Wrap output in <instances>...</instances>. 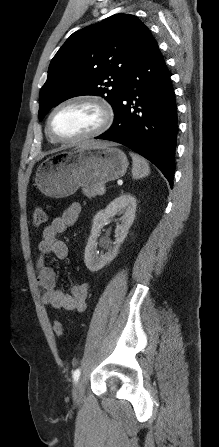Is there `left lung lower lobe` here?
Masks as SVG:
<instances>
[{
    "label": "left lung lower lobe",
    "mask_w": 219,
    "mask_h": 447,
    "mask_svg": "<svg viewBox=\"0 0 219 447\" xmlns=\"http://www.w3.org/2000/svg\"><path fill=\"white\" fill-rule=\"evenodd\" d=\"M177 120L170 74L152 36L127 74L113 125L96 139L115 141L139 153L172 188Z\"/></svg>",
    "instance_id": "left-lung-lower-lobe-1"
}]
</instances>
